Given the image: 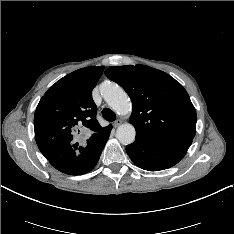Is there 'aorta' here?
I'll return each mask as SVG.
<instances>
[{
    "label": "aorta",
    "instance_id": "1",
    "mask_svg": "<svg viewBox=\"0 0 234 234\" xmlns=\"http://www.w3.org/2000/svg\"><path fill=\"white\" fill-rule=\"evenodd\" d=\"M101 93L107 104L119 115H128L132 104L128 94L122 87L114 82H104L101 85ZM136 136L135 128L130 123L120 125L116 131V137L123 145L134 142Z\"/></svg>",
    "mask_w": 234,
    "mask_h": 234
}]
</instances>
